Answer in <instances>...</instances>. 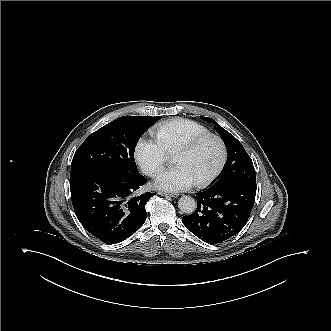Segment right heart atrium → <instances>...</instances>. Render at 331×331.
Segmentation results:
<instances>
[{"label": "right heart atrium", "instance_id": "d8ad5b80", "mask_svg": "<svg viewBox=\"0 0 331 331\" xmlns=\"http://www.w3.org/2000/svg\"><path fill=\"white\" fill-rule=\"evenodd\" d=\"M166 149L155 139H141L136 147V161L144 174L161 170L166 162Z\"/></svg>", "mask_w": 331, "mask_h": 331}]
</instances>
